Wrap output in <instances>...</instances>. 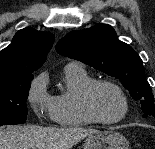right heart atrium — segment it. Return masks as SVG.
<instances>
[{"label":"right heart atrium","mask_w":155,"mask_h":149,"mask_svg":"<svg viewBox=\"0 0 155 149\" xmlns=\"http://www.w3.org/2000/svg\"><path fill=\"white\" fill-rule=\"evenodd\" d=\"M48 77L41 73L31 83L27 100L39 118H53V96L47 91Z\"/></svg>","instance_id":"1"}]
</instances>
